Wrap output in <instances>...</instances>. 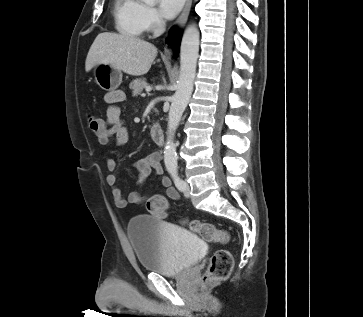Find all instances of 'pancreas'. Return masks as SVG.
Masks as SVG:
<instances>
[{"label":"pancreas","instance_id":"1","mask_svg":"<svg viewBox=\"0 0 363 317\" xmlns=\"http://www.w3.org/2000/svg\"><path fill=\"white\" fill-rule=\"evenodd\" d=\"M147 86L148 83L144 78L135 79L129 85L130 89L132 90L133 97L139 95Z\"/></svg>","mask_w":363,"mask_h":317}]
</instances>
